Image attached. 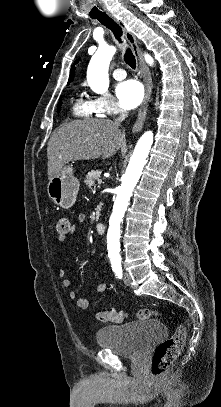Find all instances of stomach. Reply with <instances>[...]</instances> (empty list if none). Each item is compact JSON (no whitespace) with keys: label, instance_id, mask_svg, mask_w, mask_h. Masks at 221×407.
Wrapping results in <instances>:
<instances>
[{"label":"stomach","instance_id":"1","mask_svg":"<svg viewBox=\"0 0 221 407\" xmlns=\"http://www.w3.org/2000/svg\"><path fill=\"white\" fill-rule=\"evenodd\" d=\"M80 183L70 165H64L60 172L48 183L47 192L50 199L58 206L71 208L77 198Z\"/></svg>","mask_w":221,"mask_h":407}]
</instances>
